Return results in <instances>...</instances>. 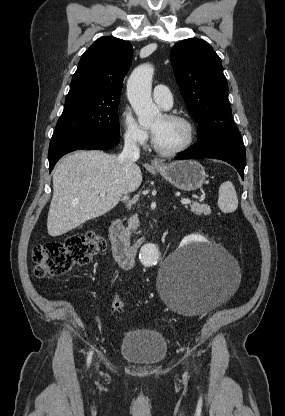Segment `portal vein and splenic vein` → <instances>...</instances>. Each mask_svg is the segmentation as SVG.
<instances>
[{
  "mask_svg": "<svg viewBox=\"0 0 285 416\" xmlns=\"http://www.w3.org/2000/svg\"><path fill=\"white\" fill-rule=\"evenodd\" d=\"M99 196H105V194H99ZM181 204H191V200H181Z\"/></svg>",
  "mask_w": 285,
  "mask_h": 416,
  "instance_id": "obj_1",
  "label": "portal vein and splenic vein"
}]
</instances>
